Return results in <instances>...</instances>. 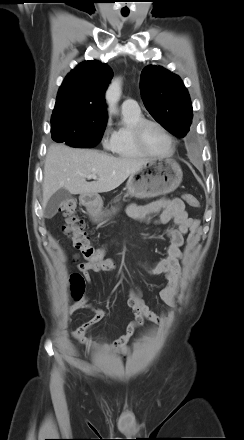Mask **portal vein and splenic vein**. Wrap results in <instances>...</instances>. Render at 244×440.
<instances>
[{
    "instance_id": "18ae733b",
    "label": "portal vein and splenic vein",
    "mask_w": 244,
    "mask_h": 440,
    "mask_svg": "<svg viewBox=\"0 0 244 440\" xmlns=\"http://www.w3.org/2000/svg\"><path fill=\"white\" fill-rule=\"evenodd\" d=\"M87 178H88V179H94V180H96V179H97V176L94 175V174H92V175H89Z\"/></svg>"
}]
</instances>
